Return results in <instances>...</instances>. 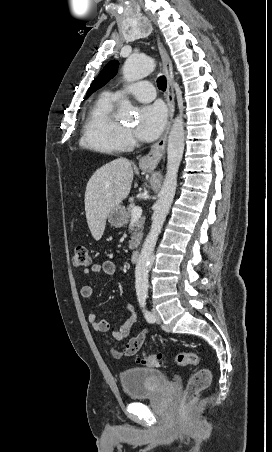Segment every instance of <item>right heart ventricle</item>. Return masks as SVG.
Segmentation results:
<instances>
[{"label": "right heart ventricle", "mask_w": 272, "mask_h": 452, "mask_svg": "<svg viewBox=\"0 0 272 452\" xmlns=\"http://www.w3.org/2000/svg\"><path fill=\"white\" fill-rule=\"evenodd\" d=\"M115 100L110 93H103L91 107L82 128L83 148L106 154L120 153L126 148L123 127L113 116Z\"/></svg>", "instance_id": "obj_1"}]
</instances>
